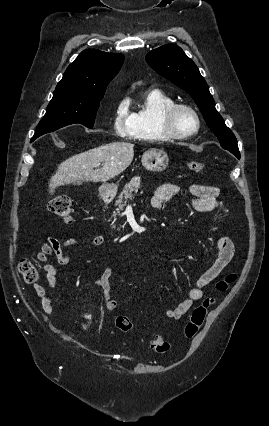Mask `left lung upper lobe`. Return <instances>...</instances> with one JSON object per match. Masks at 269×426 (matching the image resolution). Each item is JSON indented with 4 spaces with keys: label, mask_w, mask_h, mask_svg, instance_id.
Returning <instances> with one entry per match:
<instances>
[{
    "label": "left lung upper lobe",
    "mask_w": 269,
    "mask_h": 426,
    "mask_svg": "<svg viewBox=\"0 0 269 426\" xmlns=\"http://www.w3.org/2000/svg\"><path fill=\"white\" fill-rule=\"evenodd\" d=\"M146 61L158 74L190 94L221 147L238 158L240 153L236 137L217 112L209 87L197 66L184 51L175 44H166L150 51Z\"/></svg>",
    "instance_id": "1"
}]
</instances>
